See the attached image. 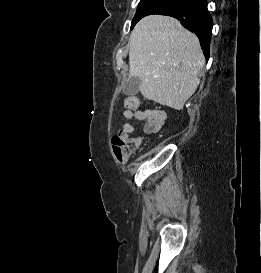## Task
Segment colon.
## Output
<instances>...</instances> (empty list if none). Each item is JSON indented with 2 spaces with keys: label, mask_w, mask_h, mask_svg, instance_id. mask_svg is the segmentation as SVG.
I'll return each mask as SVG.
<instances>
[{
  "label": "colon",
  "mask_w": 261,
  "mask_h": 273,
  "mask_svg": "<svg viewBox=\"0 0 261 273\" xmlns=\"http://www.w3.org/2000/svg\"><path fill=\"white\" fill-rule=\"evenodd\" d=\"M125 106L135 112H142L140 100L133 96L128 95L125 98ZM141 140L138 137L129 138L128 133L120 131L112 137L113 154L117 162L124 163L130 154H132L140 145Z\"/></svg>",
  "instance_id": "colon-1"
}]
</instances>
